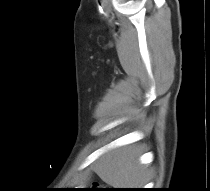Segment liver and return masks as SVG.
<instances>
[{
    "instance_id": "1",
    "label": "liver",
    "mask_w": 210,
    "mask_h": 191,
    "mask_svg": "<svg viewBox=\"0 0 210 191\" xmlns=\"http://www.w3.org/2000/svg\"><path fill=\"white\" fill-rule=\"evenodd\" d=\"M140 150L133 146L121 147L102 155L94 164V171L114 188H129L145 183V169L139 163Z\"/></svg>"
}]
</instances>
